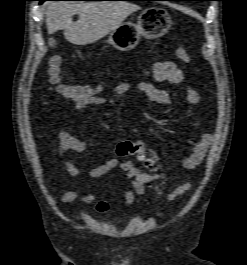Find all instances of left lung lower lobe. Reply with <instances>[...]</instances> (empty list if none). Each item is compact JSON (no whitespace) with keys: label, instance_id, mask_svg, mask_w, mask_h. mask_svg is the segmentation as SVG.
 <instances>
[{"label":"left lung lower lobe","instance_id":"0a47b994","mask_svg":"<svg viewBox=\"0 0 247 265\" xmlns=\"http://www.w3.org/2000/svg\"><path fill=\"white\" fill-rule=\"evenodd\" d=\"M168 1H199V0H168Z\"/></svg>","mask_w":247,"mask_h":265}]
</instances>
